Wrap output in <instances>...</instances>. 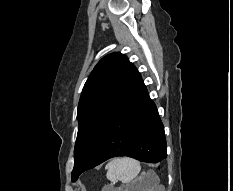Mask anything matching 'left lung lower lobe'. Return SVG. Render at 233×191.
Returning <instances> with one entry per match:
<instances>
[{"label":"left lung lower lobe","instance_id":"left-lung-lower-lobe-1","mask_svg":"<svg viewBox=\"0 0 233 191\" xmlns=\"http://www.w3.org/2000/svg\"><path fill=\"white\" fill-rule=\"evenodd\" d=\"M128 156L147 163L167 157L163 124L141 78L96 142L78 176L102 162Z\"/></svg>","mask_w":233,"mask_h":191}]
</instances>
